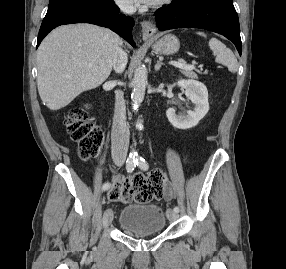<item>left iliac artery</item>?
I'll return each mask as SVG.
<instances>
[{"label": "left iliac artery", "mask_w": 286, "mask_h": 269, "mask_svg": "<svg viewBox=\"0 0 286 269\" xmlns=\"http://www.w3.org/2000/svg\"><path fill=\"white\" fill-rule=\"evenodd\" d=\"M136 156H137V155H136ZM135 162H136V165H137L140 169H142V170H144V171L148 170V168H149L148 163L146 162V160H145L143 157L137 156V157L135 158ZM174 211L178 213V212H179V208H178L177 206H174Z\"/></svg>", "instance_id": "1"}]
</instances>
